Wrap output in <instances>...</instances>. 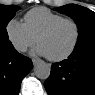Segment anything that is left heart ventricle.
Returning <instances> with one entry per match:
<instances>
[{
  "instance_id": "obj_1",
  "label": "left heart ventricle",
  "mask_w": 95,
  "mask_h": 95,
  "mask_svg": "<svg viewBox=\"0 0 95 95\" xmlns=\"http://www.w3.org/2000/svg\"><path fill=\"white\" fill-rule=\"evenodd\" d=\"M75 36V26L71 22H64L57 26L50 34L42 37L39 45L45 50L47 56L57 57L72 46Z\"/></svg>"
}]
</instances>
